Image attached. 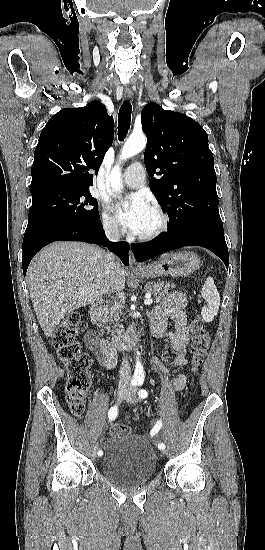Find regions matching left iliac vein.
<instances>
[{
  "instance_id": "obj_1",
  "label": "left iliac vein",
  "mask_w": 265,
  "mask_h": 550,
  "mask_svg": "<svg viewBox=\"0 0 265 550\" xmlns=\"http://www.w3.org/2000/svg\"><path fill=\"white\" fill-rule=\"evenodd\" d=\"M124 398L128 403L134 404L136 402L135 389L134 388L129 389ZM163 452H164V454H167V450H163Z\"/></svg>"
}]
</instances>
